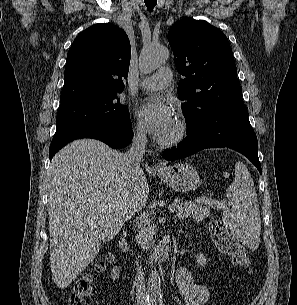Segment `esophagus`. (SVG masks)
<instances>
[{
	"label": "esophagus",
	"mask_w": 297,
	"mask_h": 305,
	"mask_svg": "<svg viewBox=\"0 0 297 305\" xmlns=\"http://www.w3.org/2000/svg\"><path fill=\"white\" fill-rule=\"evenodd\" d=\"M155 167H156V169H160V168H162V164L160 162H158L155 164Z\"/></svg>",
	"instance_id": "34e87169"
}]
</instances>
